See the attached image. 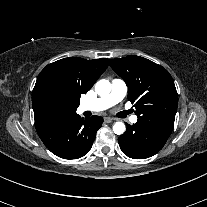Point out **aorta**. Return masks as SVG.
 <instances>
[{
    "label": "aorta",
    "instance_id": "1",
    "mask_svg": "<svg viewBox=\"0 0 207 207\" xmlns=\"http://www.w3.org/2000/svg\"><path fill=\"white\" fill-rule=\"evenodd\" d=\"M95 91L99 96H107L111 91V84L108 80H99L95 85ZM113 131L117 135H121L125 132V124L123 122H116L113 125Z\"/></svg>",
    "mask_w": 207,
    "mask_h": 207
}]
</instances>
